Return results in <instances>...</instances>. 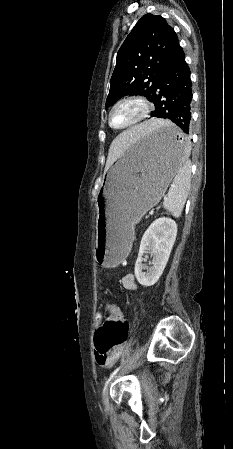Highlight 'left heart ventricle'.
I'll list each match as a JSON object with an SVG mask.
<instances>
[{
    "label": "left heart ventricle",
    "mask_w": 233,
    "mask_h": 449,
    "mask_svg": "<svg viewBox=\"0 0 233 449\" xmlns=\"http://www.w3.org/2000/svg\"><path fill=\"white\" fill-rule=\"evenodd\" d=\"M141 110V105L137 102L121 104L112 113V124L117 127L127 125L140 115Z\"/></svg>",
    "instance_id": "1"
}]
</instances>
